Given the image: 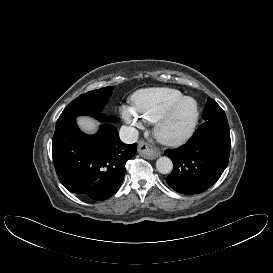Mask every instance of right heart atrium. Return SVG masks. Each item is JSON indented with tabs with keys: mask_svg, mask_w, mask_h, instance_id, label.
Instances as JSON below:
<instances>
[{
	"mask_svg": "<svg viewBox=\"0 0 273 273\" xmlns=\"http://www.w3.org/2000/svg\"><path fill=\"white\" fill-rule=\"evenodd\" d=\"M120 115L124 122L129 125L132 132L138 129H142L145 125V121L131 105H122L120 107Z\"/></svg>",
	"mask_w": 273,
	"mask_h": 273,
	"instance_id": "obj_1",
	"label": "right heart atrium"
}]
</instances>
